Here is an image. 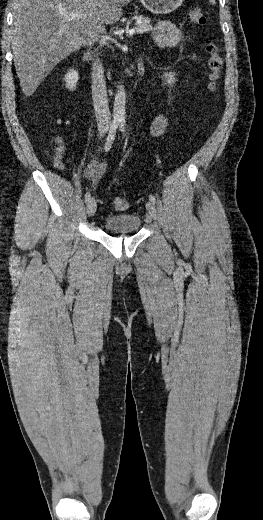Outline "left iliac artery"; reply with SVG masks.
I'll return each mask as SVG.
<instances>
[{"mask_svg": "<svg viewBox=\"0 0 263 520\" xmlns=\"http://www.w3.org/2000/svg\"><path fill=\"white\" fill-rule=\"evenodd\" d=\"M120 130H121L122 133L124 134V132H125V121H124V120H120ZM149 199H150V201H151L153 204H155L156 199H155V197H154L153 195H150V196H149Z\"/></svg>", "mask_w": 263, "mask_h": 520, "instance_id": "left-iliac-artery-1", "label": "left iliac artery"}]
</instances>
